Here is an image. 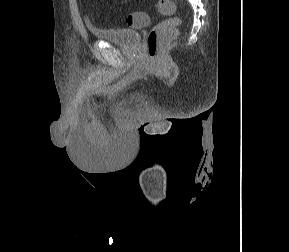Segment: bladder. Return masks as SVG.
<instances>
[{
  "mask_svg": "<svg viewBox=\"0 0 289 252\" xmlns=\"http://www.w3.org/2000/svg\"><path fill=\"white\" fill-rule=\"evenodd\" d=\"M92 34L104 40L123 47H133L140 41V33L124 28H92Z\"/></svg>",
  "mask_w": 289,
  "mask_h": 252,
  "instance_id": "1",
  "label": "bladder"
}]
</instances>
